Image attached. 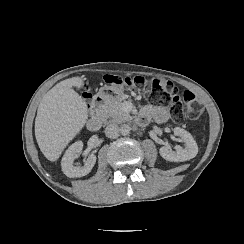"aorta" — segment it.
Segmentation results:
<instances>
[{
    "label": "aorta",
    "mask_w": 244,
    "mask_h": 244,
    "mask_svg": "<svg viewBox=\"0 0 244 244\" xmlns=\"http://www.w3.org/2000/svg\"><path fill=\"white\" fill-rule=\"evenodd\" d=\"M131 131V127L127 124H123L120 127V133L124 136L129 135Z\"/></svg>",
    "instance_id": "762f6f07"
}]
</instances>
